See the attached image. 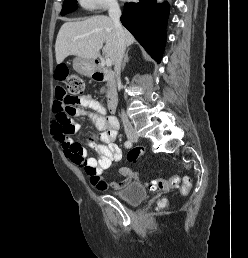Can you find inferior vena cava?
I'll list each match as a JSON object with an SVG mask.
<instances>
[{
  "label": "inferior vena cava",
  "mask_w": 248,
  "mask_h": 258,
  "mask_svg": "<svg viewBox=\"0 0 248 258\" xmlns=\"http://www.w3.org/2000/svg\"><path fill=\"white\" fill-rule=\"evenodd\" d=\"M109 17L114 23V27L117 34V49H116V57H115V73L118 81V85L120 83V72H121V64L124 57L125 49H126V41L124 37L123 27L120 23L121 10L116 1H113L109 4L108 9ZM124 130L126 134H132L134 129L129 122L126 115L122 112L121 115Z\"/></svg>",
  "instance_id": "1"
}]
</instances>
